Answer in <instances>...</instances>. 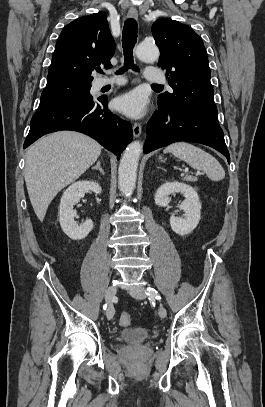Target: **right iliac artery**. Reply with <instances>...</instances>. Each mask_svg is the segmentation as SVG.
Returning a JSON list of instances; mask_svg holds the SVG:
<instances>
[{
    "mask_svg": "<svg viewBox=\"0 0 265 407\" xmlns=\"http://www.w3.org/2000/svg\"><path fill=\"white\" fill-rule=\"evenodd\" d=\"M106 307H107V305L105 304V305L103 306V309L106 310Z\"/></svg>",
    "mask_w": 265,
    "mask_h": 407,
    "instance_id": "1",
    "label": "right iliac artery"
}]
</instances>
